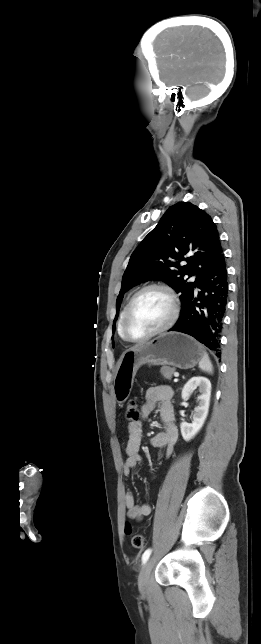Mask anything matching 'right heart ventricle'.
Masks as SVG:
<instances>
[{
    "label": "right heart ventricle",
    "instance_id": "obj_1",
    "mask_svg": "<svg viewBox=\"0 0 261 644\" xmlns=\"http://www.w3.org/2000/svg\"><path fill=\"white\" fill-rule=\"evenodd\" d=\"M125 308L126 307H124V309H123V311L121 313V316H120V320H119V324H118V333H119V336L121 337L122 340L127 341L123 336L122 328H121V323H122V318H123V313H124Z\"/></svg>",
    "mask_w": 261,
    "mask_h": 644
}]
</instances>
